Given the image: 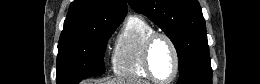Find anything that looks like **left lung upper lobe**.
<instances>
[{
    "label": "left lung upper lobe",
    "instance_id": "left-lung-upper-lobe-1",
    "mask_svg": "<svg viewBox=\"0 0 260 84\" xmlns=\"http://www.w3.org/2000/svg\"><path fill=\"white\" fill-rule=\"evenodd\" d=\"M173 42L179 57L178 84H212L206 26L197 0H128Z\"/></svg>",
    "mask_w": 260,
    "mask_h": 84
}]
</instances>
